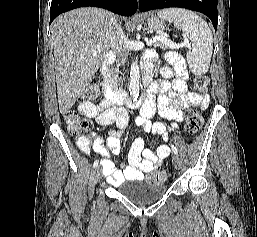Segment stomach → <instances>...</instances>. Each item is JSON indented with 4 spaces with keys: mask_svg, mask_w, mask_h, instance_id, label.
<instances>
[{
    "mask_svg": "<svg viewBox=\"0 0 257 237\" xmlns=\"http://www.w3.org/2000/svg\"><path fill=\"white\" fill-rule=\"evenodd\" d=\"M147 25L149 29L157 32H162L165 29L164 22L156 16L149 15L147 17Z\"/></svg>",
    "mask_w": 257,
    "mask_h": 237,
    "instance_id": "0dacf381",
    "label": "stomach"
}]
</instances>
